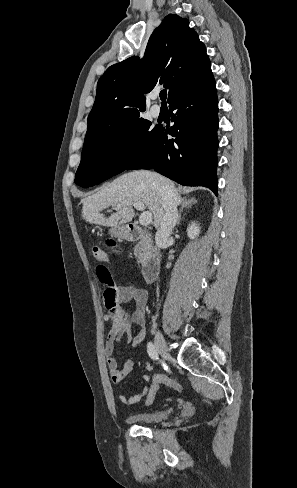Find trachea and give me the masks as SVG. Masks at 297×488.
<instances>
[{"label": "trachea", "mask_w": 297, "mask_h": 488, "mask_svg": "<svg viewBox=\"0 0 297 488\" xmlns=\"http://www.w3.org/2000/svg\"><path fill=\"white\" fill-rule=\"evenodd\" d=\"M166 98H167V91L162 90L160 92V99L162 100V104H166Z\"/></svg>", "instance_id": "obj_1"}]
</instances>
